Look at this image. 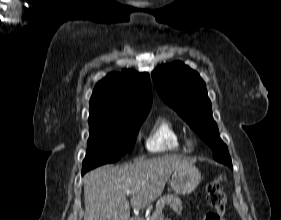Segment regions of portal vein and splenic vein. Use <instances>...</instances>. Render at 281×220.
<instances>
[{
  "label": "portal vein and splenic vein",
  "instance_id": "18ae733b",
  "mask_svg": "<svg viewBox=\"0 0 281 220\" xmlns=\"http://www.w3.org/2000/svg\"><path fill=\"white\" fill-rule=\"evenodd\" d=\"M126 194H127V195H131V194H133V192L130 191V190H127V191H126Z\"/></svg>",
  "mask_w": 281,
  "mask_h": 220
}]
</instances>
